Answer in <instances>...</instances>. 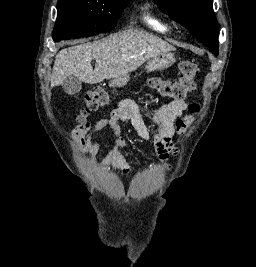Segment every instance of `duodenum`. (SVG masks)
Returning <instances> with one entry per match:
<instances>
[{
    "instance_id": "410a0bca",
    "label": "duodenum",
    "mask_w": 256,
    "mask_h": 267,
    "mask_svg": "<svg viewBox=\"0 0 256 267\" xmlns=\"http://www.w3.org/2000/svg\"><path fill=\"white\" fill-rule=\"evenodd\" d=\"M145 71H152V66H145ZM129 80V74H122V77L112 78L108 86L111 89L119 88V86H127Z\"/></svg>"
}]
</instances>
